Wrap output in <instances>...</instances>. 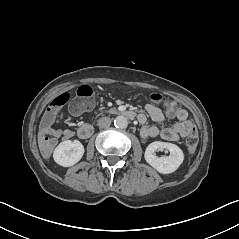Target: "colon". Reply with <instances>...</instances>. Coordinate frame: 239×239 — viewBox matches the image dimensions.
Instances as JSON below:
<instances>
[{
    "label": "colon",
    "mask_w": 239,
    "mask_h": 239,
    "mask_svg": "<svg viewBox=\"0 0 239 239\" xmlns=\"http://www.w3.org/2000/svg\"><path fill=\"white\" fill-rule=\"evenodd\" d=\"M150 98L156 103L162 102V97L159 94H152ZM68 100L69 95L67 93H62L51 101L49 107L43 115L41 130L48 129L52 126L53 122L58 116L60 108L64 106ZM93 101L92 88L87 85H82L77 89V97L71 103L70 109L74 114L81 113L83 111L89 110L93 106ZM163 106L168 115H173L178 110L177 104L173 101H163ZM186 145L190 153L195 152L198 145V134L196 130H193L190 133L186 140Z\"/></svg>",
    "instance_id": "1"
}]
</instances>
